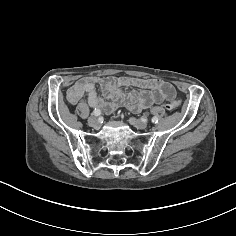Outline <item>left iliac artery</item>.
Here are the masks:
<instances>
[{"instance_id": "1", "label": "left iliac artery", "mask_w": 236, "mask_h": 236, "mask_svg": "<svg viewBox=\"0 0 236 236\" xmlns=\"http://www.w3.org/2000/svg\"><path fill=\"white\" fill-rule=\"evenodd\" d=\"M151 122L152 123H158V117L154 116L152 119H151Z\"/></svg>"}]
</instances>
